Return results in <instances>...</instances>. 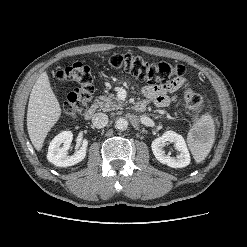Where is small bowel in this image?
Returning <instances> with one entry per match:
<instances>
[{"mask_svg": "<svg viewBox=\"0 0 247 247\" xmlns=\"http://www.w3.org/2000/svg\"><path fill=\"white\" fill-rule=\"evenodd\" d=\"M186 83L185 78L177 77L159 85H146L142 89L146 98L143 102L146 104L152 102L157 107H166L176 100L175 93Z\"/></svg>", "mask_w": 247, "mask_h": 247, "instance_id": "small-bowel-1", "label": "small bowel"}]
</instances>
